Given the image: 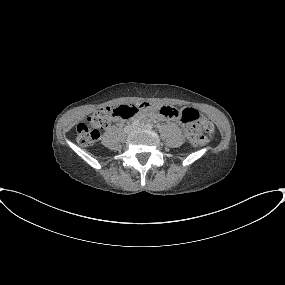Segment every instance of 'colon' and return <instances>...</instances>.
Masks as SVG:
<instances>
[{"mask_svg":"<svg viewBox=\"0 0 285 285\" xmlns=\"http://www.w3.org/2000/svg\"><path fill=\"white\" fill-rule=\"evenodd\" d=\"M158 113L164 117L179 120L188 126L187 137L193 145H202L204 137L201 129L207 132L213 131V125L206 121L200 113L193 108H179L172 105L159 106L154 103L127 104L112 109L108 107L97 108L85 121L77 125V141L83 146L95 142L101 132L106 129L114 118L129 119L137 114ZM195 128H191V126Z\"/></svg>","mask_w":285,"mask_h":285,"instance_id":"obj_1","label":"colon"}]
</instances>
